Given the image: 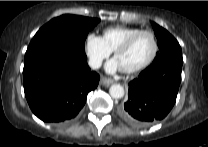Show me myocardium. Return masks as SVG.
Returning <instances> with one entry per match:
<instances>
[{
    "label": "myocardium",
    "instance_id": "myocardium-1",
    "mask_svg": "<svg viewBox=\"0 0 208 147\" xmlns=\"http://www.w3.org/2000/svg\"><path fill=\"white\" fill-rule=\"evenodd\" d=\"M143 34H147L150 35L153 39V43H154V49L153 52L150 56V58L144 62L143 64L133 67V68H121L122 72L126 73V74H135L138 72H141L143 70H145L146 68H148L156 59L157 55H158V51H159V43H158V39L156 37V35L150 31V30H140L136 33H134L133 35H131L129 38H127L115 51H114V55L115 58L125 52L126 50H128L131 45L133 44V42L141 35Z\"/></svg>",
    "mask_w": 208,
    "mask_h": 147
}]
</instances>
